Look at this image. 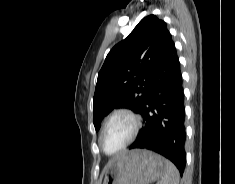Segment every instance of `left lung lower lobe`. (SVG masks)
Masks as SVG:
<instances>
[{
    "instance_id": "obj_1",
    "label": "left lung lower lobe",
    "mask_w": 235,
    "mask_h": 184,
    "mask_svg": "<svg viewBox=\"0 0 235 184\" xmlns=\"http://www.w3.org/2000/svg\"><path fill=\"white\" fill-rule=\"evenodd\" d=\"M140 114L145 120L129 147L152 150L185 169V127L182 76L171 34L166 37Z\"/></svg>"
}]
</instances>
